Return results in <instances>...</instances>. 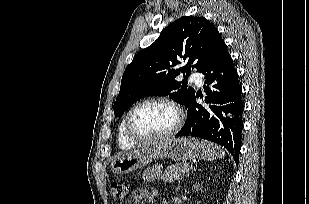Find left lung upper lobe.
<instances>
[{"mask_svg": "<svg viewBox=\"0 0 309 204\" xmlns=\"http://www.w3.org/2000/svg\"><path fill=\"white\" fill-rule=\"evenodd\" d=\"M225 47L218 30L204 17L184 16L169 24L127 66L114 103L115 116L121 117L137 100L152 95H169L187 109L195 91L175 78L185 72L188 76L191 69L203 73Z\"/></svg>", "mask_w": 309, "mask_h": 204, "instance_id": "1", "label": "left lung upper lobe"}]
</instances>
